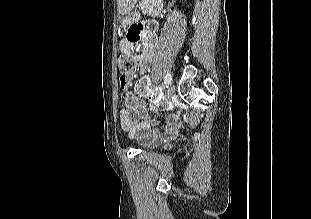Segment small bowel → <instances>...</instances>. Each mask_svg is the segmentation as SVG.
Returning a JSON list of instances; mask_svg holds the SVG:
<instances>
[{"label":"small bowel","instance_id":"c3829d8e","mask_svg":"<svg viewBox=\"0 0 311 219\" xmlns=\"http://www.w3.org/2000/svg\"><path fill=\"white\" fill-rule=\"evenodd\" d=\"M149 11L153 10L149 9ZM136 41H140V44L143 47L141 55H135L133 53V44L135 41H129L127 38L120 42L119 51L122 55L130 56L135 61L140 68V82L146 83V74L150 69V63L152 62L156 48V38L153 36L152 30H148L142 38H138ZM132 77V72L127 74V85L122 88L126 91L124 106L120 112V123L122 129L130 136L138 137L139 139L147 142H156L159 139L167 138L176 134L177 128L174 126L170 118L166 119L165 127L163 129L152 131L149 113L140 97L141 94L128 91ZM146 95L150 96L152 100H157L158 98V94L153 93L150 87H148ZM152 109H155V107H152Z\"/></svg>","mask_w":311,"mask_h":219}]
</instances>
